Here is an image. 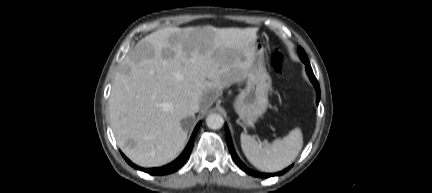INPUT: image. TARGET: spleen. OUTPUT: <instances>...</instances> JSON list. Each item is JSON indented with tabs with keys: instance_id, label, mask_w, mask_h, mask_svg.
Segmentation results:
<instances>
[{
	"instance_id": "3e777b00",
	"label": "spleen",
	"mask_w": 432,
	"mask_h": 193,
	"mask_svg": "<svg viewBox=\"0 0 432 193\" xmlns=\"http://www.w3.org/2000/svg\"><path fill=\"white\" fill-rule=\"evenodd\" d=\"M242 150L248 161L262 172L280 171L295 160L303 146V136L295 128L282 139H276L271 145L262 146L250 135L240 136Z\"/></svg>"
}]
</instances>
